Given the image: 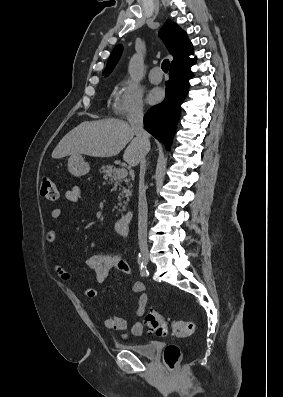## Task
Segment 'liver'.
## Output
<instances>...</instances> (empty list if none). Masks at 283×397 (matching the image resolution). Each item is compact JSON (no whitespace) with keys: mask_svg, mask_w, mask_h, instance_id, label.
<instances>
[{"mask_svg":"<svg viewBox=\"0 0 283 397\" xmlns=\"http://www.w3.org/2000/svg\"><path fill=\"white\" fill-rule=\"evenodd\" d=\"M128 122L119 119L85 121L67 133L52 153V158L85 154L92 157L116 156L129 143L123 159L135 167L146 149Z\"/></svg>","mask_w":283,"mask_h":397,"instance_id":"6515ba94","label":"liver"}]
</instances>
